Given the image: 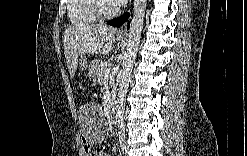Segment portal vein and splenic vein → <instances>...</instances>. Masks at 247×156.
<instances>
[{
  "mask_svg": "<svg viewBox=\"0 0 247 156\" xmlns=\"http://www.w3.org/2000/svg\"><path fill=\"white\" fill-rule=\"evenodd\" d=\"M110 76V71H107V73L105 74V79L108 80Z\"/></svg>",
  "mask_w": 247,
  "mask_h": 156,
  "instance_id": "obj_1",
  "label": "portal vein and splenic vein"
}]
</instances>
